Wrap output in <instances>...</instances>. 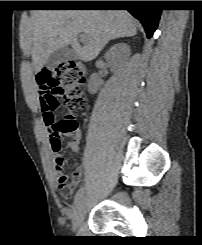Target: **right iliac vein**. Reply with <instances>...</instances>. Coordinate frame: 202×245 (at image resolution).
<instances>
[{
	"instance_id": "1",
	"label": "right iliac vein",
	"mask_w": 202,
	"mask_h": 245,
	"mask_svg": "<svg viewBox=\"0 0 202 245\" xmlns=\"http://www.w3.org/2000/svg\"><path fill=\"white\" fill-rule=\"evenodd\" d=\"M86 211H87L86 202L84 199H81L73 210L72 225L74 230H76L81 224L86 214Z\"/></svg>"
}]
</instances>
